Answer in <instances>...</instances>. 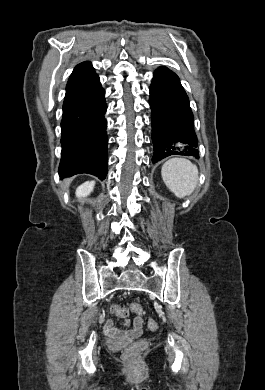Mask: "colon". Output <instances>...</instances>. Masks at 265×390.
Segmentation results:
<instances>
[{
  "label": "colon",
  "instance_id": "obj_1",
  "mask_svg": "<svg viewBox=\"0 0 265 390\" xmlns=\"http://www.w3.org/2000/svg\"><path fill=\"white\" fill-rule=\"evenodd\" d=\"M129 309H130V311H132L134 313H139V314L143 313L142 306L136 302L130 303ZM111 311L117 317H121V318H124L128 315V309H126L118 304H113L111 306ZM148 328L152 331H155L158 328V323L155 320L150 319L148 321ZM142 344L143 343L140 342V343H133V344L128 345L125 349V352H124L125 357L128 359H134L137 356Z\"/></svg>",
  "mask_w": 265,
  "mask_h": 390
}]
</instances>
